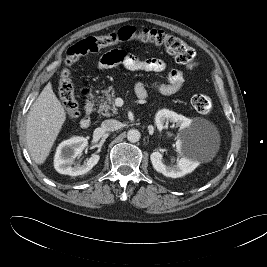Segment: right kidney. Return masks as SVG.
<instances>
[{
    "instance_id": "ca27d5eb",
    "label": "right kidney",
    "mask_w": 267,
    "mask_h": 267,
    "mask_svg": "<svg viewBox=\"0 0 267 267\" xmlns=\"http://www.w3.org/2000/svg\"><path fill=\"white\" fill-rule=\"evenodd\" d=\"M87 145V139L79 136L60 143L54 158L56 171L70 176L82 175L90 171L100 159V156L97 154H92L83 165L72 166L75 158L82 153Z\"/></svg>"
}]
</instances>
